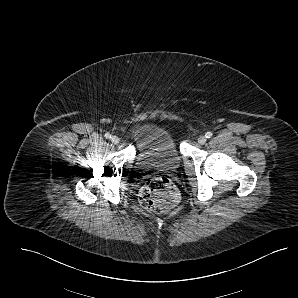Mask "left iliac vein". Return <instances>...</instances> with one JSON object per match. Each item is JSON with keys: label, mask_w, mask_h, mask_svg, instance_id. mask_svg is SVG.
Returning <instances> with one entry per match:
<instances>
[{"label": "left iliac vein", "mask_w": 298, "mask_h": 298, "mask_svg": "<svg viewBox=\"0 0 298 298\" xmlns=\"http://www.w3.org/2000/svg\"><path fill=\"white\" fill-rule=\"evenodd\" d=\"M206 137L205 136H200L199 138H198V143L199 144H204L205 142H206Z\"/></svg>", "instance_id": "left-iliac-vein-1"}]
</instances>
